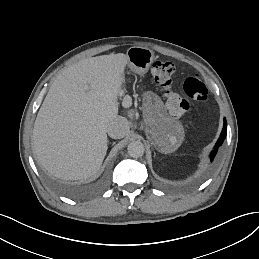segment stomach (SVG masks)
<instances>
[{
	"label": "stomach",
	"mask_w": 259,
	"mask_h": 259,
	"mask_svg": "<svg viewBox=\"0 0 259 259\" xmlns=\"http://www.w3.org/2000/svg\"><path fill=\"white\" fill-rule=\"evenodd\" d=\"M129 67L138 74L146 73L154 61V52L146 47H131L127 51Z\"/></svg>",
	"instance_id": "stomach-1"
}]
</instances>
